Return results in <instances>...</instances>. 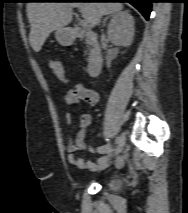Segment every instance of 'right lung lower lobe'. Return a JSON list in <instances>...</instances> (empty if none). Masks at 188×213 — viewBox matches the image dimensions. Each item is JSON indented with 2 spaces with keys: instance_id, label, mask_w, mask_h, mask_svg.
Returning <instances> with one entry per match:
<instances>
[{
  "instance_id": "98d812e1",
  "label": "right lung lower lobe",
  "mask_w": 188,
  "mask_h": 213,
  "mask_svg": "<svg viewBox=\"0 0 188 213\" xmlns=\"http://www.w3.org/2000/svg\"><path fill=\"white\" fill-rule=\"evenodd\" d=\"M32 1H38V0H32ZM107 1V0H104ZM108 1H118V2H129L133 6H135L142 14L143 16L148 19L150 12H151V3L153 0H108Z\"/></svg>"
}]
</instances>
